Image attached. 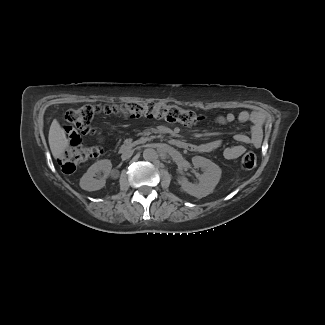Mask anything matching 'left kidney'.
Returning <instances> with one entry per match:
<instances>
[{
  "mask_svg": "<svg viewBox=\"0 0 325 325\" xmlns=\"http://www.w3.org/2000/svg\"><path fill=\"white\" fill-rule=\"evenodd\" d=\"M192 163L195 168L203 170V174L199 176V183L193 184L187 178L180 179L179 183L188 194L202 198L213 192L221 178L222 171L218 165L201 156H194Z\"/></svg>",
  "mask_w": 325,
  "mask_h": 325,
  "instance_id": "left-kidney-1",
  "label": "left kidney"
}]
</instances>
